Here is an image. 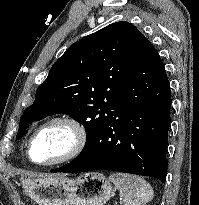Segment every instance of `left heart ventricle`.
Masks as SVG:
<instances>
[{
	"instance_id": "1",
	"label": "left heart ventricle",
	"mask_w": 199,
	"mask_h": 205,
	"mask_svg": "<svg viewBox=\"0 0 199 205\" xmlns=\"http://www.w3.org/2000/svg\"><path fill=\"white\" fill-rule=\"evenodd\" d=\"M72 143L71 131L61 125L43 130L35 139L32 157L38 162H47L62 156Z\"/></svg>"
}]
</instances>
